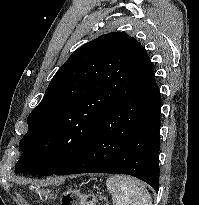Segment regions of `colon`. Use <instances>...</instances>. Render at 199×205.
Masks as SVG:
<instances>
[{
  "instance_id": "colon-1",
  "label": "colon",
  "mask_w": 199,
  "mask_h": 205,
  "mask_svg": "<svg viewBox=\"0 0 199 205\" xmlns=\"http://www.w3.org/2000/svg\"><path fill=\"white\" fill-rule=\"evenodd\" d=\"M60 203L61 205H108L103 196L78 194L70 190L62 194Z\"/></svg>"
}]
</instances>
